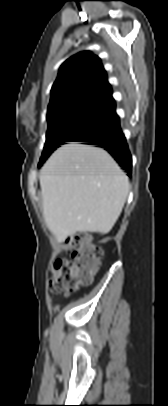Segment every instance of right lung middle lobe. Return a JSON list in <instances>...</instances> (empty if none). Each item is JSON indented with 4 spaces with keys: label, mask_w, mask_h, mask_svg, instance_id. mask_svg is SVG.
<instances>
[{
    "label": "right lung middle lobe",
    "mask_w": 168,
    "mask_h": 406,
    "mask_svg": "<svg viewBox=\"0 0 168 406\" xmlns=\"http://www.w3.org/2000/svg\"><path fill=\"white\" fill-rule=\"evenodd\" d=\"M114 119L112 106L97 104L70 106L47 114L46 142L38 166L60 145L77 141L110 124Z\"/></svg>",
    "instance_id": "right-lung-middle-lobe-1"
}]
</instances>
